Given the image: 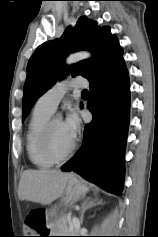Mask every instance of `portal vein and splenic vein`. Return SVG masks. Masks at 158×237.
Wrapping results in <instances>:
<instances>
[{
  "label": "portal vein and splenic vein",
  "instance_id": "obj_1",
  "mask_svg": "<svg viewBox=\"0 0 158 237\" xmlns=\"http://www.w3.org/2000/svg\"><path fill=\"white\" fill-rule=\"evenodd\" d=\"M72 224H73L75 227H77V228H79V227H80L79 220H78V219H76V218H73V219H72Z\"/></svg>",
  "mask_w": 158,
  "mask_h": 237
}]
</instances>
